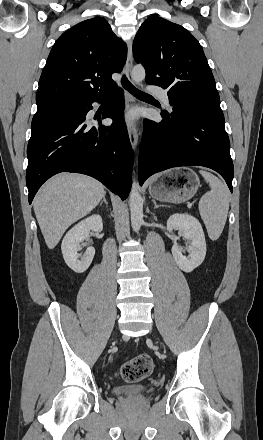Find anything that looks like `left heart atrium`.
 I'll use <instances>...</instances> for the list:
<instances>
[{
  "mask_svg": "<svg viewBox=\"0 0 263 440\" xmlns=\"http://www.w3.org/2000/svg\"><path fill=\"white\" fill-rule=\"evenodd\" d=\"M134 118H135L134 114H128L126 120L127 122H133Z\"/></svg>",
  "mask_w": 263,
  "mask_h": 440,
  "instance_id": "39dd6f15",
  "label": "left heart atrium"
}]
</instances>
